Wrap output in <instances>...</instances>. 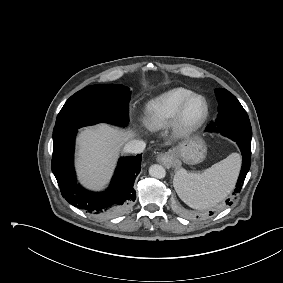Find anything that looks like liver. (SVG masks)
<instances>
[{"mask_svg": "<svg viewBox=\"0 0 283 283\" xmlns=\"http://www.w3.org/2000/svg\"><path fill=\"white\" fill-rule=\"evenodd\" d=\"M135 136L108 124L83 129L77 139L76 167L79 179L90 189H101L110 179L117 156Z\"/></svg>", "mask_w": 283, "mask_h": 283, "instance_id": "obj_1", "label": "liver"}]
</instances>
